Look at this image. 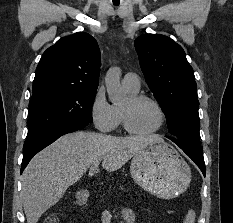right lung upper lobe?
<instances>
[{"label": "right lung upper lobe", "instance_id": "right-lung-upper-lobe-1", "mask_svg": "<svg viewBox=\"0 0 233 223\" xmlns=\"http://www.w3.org/2000/svg\"><path fill=\"white\" fill-rule=\"evenodd\" d=\"M101 55L96 40L85 32L61 38L42 55L33 95L51 90H97Z\"/></svg>", "mask_w": 233, "mask_h": 223}]
</instances>
